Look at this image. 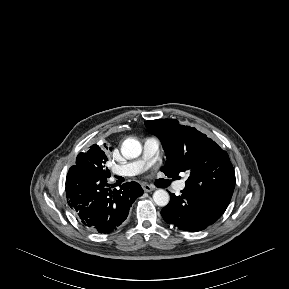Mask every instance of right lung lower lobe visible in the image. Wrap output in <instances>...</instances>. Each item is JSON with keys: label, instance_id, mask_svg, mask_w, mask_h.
<instances>
[{"label": "right lung lower lobe", "instance_id": "1", "mask_svg": "<svg viewBox=\"0 0 289 289\" xmlns=\"http://www.w3.org/2000/svg\"><path fill=\"white\" fill-rule=\"evenodd\" d=\"M107 179H100L80 168L71 167L66 178V197L80 222L98 233H110L127 218L133 202L143 194L136 182H127L120 189L107 188Z\"/></svg>", "mask_w": 289, "mask_h": 289}]
</instances>
